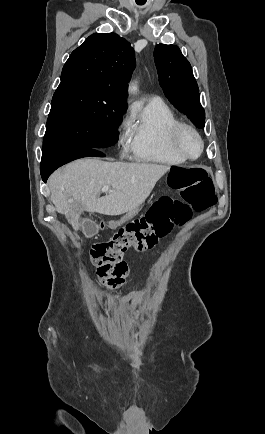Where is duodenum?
<instances>
[{"mask_svg": "<svg viewBox=\"0 0 265 434\" xmlns=\"http://www.w3.org/2000/svg\"><path fill=\"white\" fill-rule=\"evenodd\" d=\"M101 224H104V221H101Z\"/></svg>", "mask_w": 265, "mask_h": 434, "instance_id": "duodenum-1", "label": "duodenum"}]
</instances>
